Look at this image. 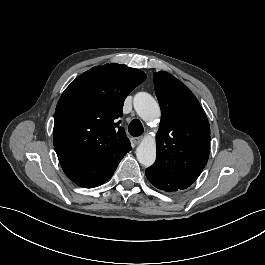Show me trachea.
<instances>
[{
	"label": "trachea",
	"instance_id": "trachea-1",
	"mask_svg": "<svg viewBox=\"0 0 265 265\" xmlns=\"http://www.w3.org/2000/svg\"><path fill=\"white\" fill-rule=\"evenodd\" d=\"M128 131L133 137H139L143 134L144 128L142 123L139 120L135 119L130 122Z\"/></svg>",
	"mask_w": 265,
	"mask_h": 265
}]
</instances>
